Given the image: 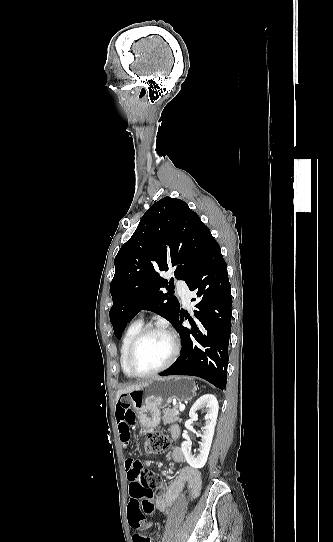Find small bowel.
<instances>
[{
  "label": "small bowel",
  "mask_w": 333,
  "mask_h": 542,
  "mask_svg": "<svg viewBox=\"0 0 333 542\" xmlns=\"http://www.w3.org/2000/svg\"><path fill=\"white\" fill-rule=\"evenodd\" d=\"M129 402H124L123 404L118 403L115 408V416L117 420V432L118 439L121 445L124 448H129L132 440V432L136 430V425L134 424L135 415L132 409L130 408ZM170 433L174 438H177L180 434V429L177 425H172L170 428ZM171 458L175 463H181L183 461V452L180 448H174L171 452ZM134 462L128 460L126 462V467L128 469V477L132 480L133 486V469ZM188 484L189 487V498H196L202 486V479L200 472L192 467L185 466L182 467L177 475L170 482L166 491L157 495L155 498V506L158 510L164 512L167 511L178 499L179 495L182 493L185 484ZM131 486V493H132ZM137 507L135 501L132 499L128 507V522L129 525L135 531H140L143 528V523L137 519Z\"/></svg>",
  "instance_id": "small-bowel-1"
}]
</instances>
